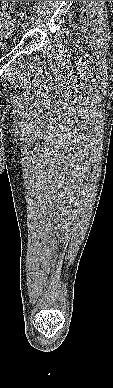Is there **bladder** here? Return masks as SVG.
Wrapping results in <instances>:
<instances>
[{
    "mask_svg": "<svg viewBox=\"0 0 113 388\" xmlns=\"http://www.w3.org/2000/svg\"><path fill=\"white\" fill-rule=\"evenodd\" d=\"M13 28L14 26L11 22L5 23L0 21V56L6 54L9 50V47L4 42V39L10 34Z\"/></svg>",
    "mask_w": 113,
    "mask_h": 388,
    "instance_id": "31cf9c89",
    "label": "bladder"
}]
</instances>
